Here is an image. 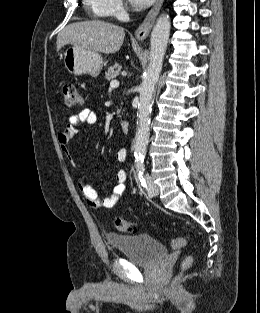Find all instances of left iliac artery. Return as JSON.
<instances>
[{"label": "left iliac artery", "instance_id": "44dca946", "mask_svg": "<svg viewBox=\"0 0 260 313\" xmlns=\"http://www.w3.org/2000/svg\"><path fill=\"white\" fill-rule=\"evenodd\" d=\"M136 171H137L138 179H139V181L141 182V185H142L143 187H147V186H146L145 178H144V176H143L144 171H145V166H144V164H137V165H136Z\"/></svg>", "mask_w": 260, "mask_h": 313}]
</instances>
